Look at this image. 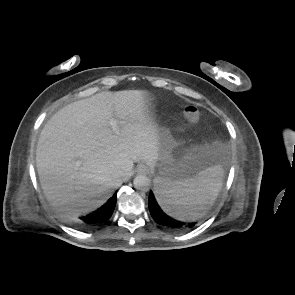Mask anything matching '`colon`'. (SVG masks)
<instances>
[{
	"mask_svg": "<svg viewBox=\"0 0 295 295\" xmlns=\"http://www.w3.org/2000/svg\"><path fill=\"white\" fill-rule=\"evenodd\" d=\"M183 113H184L185 118L189 122H196V121H198L199 116H200L198 109L195 106H193V105H187L184 108Z\"/></svg>",
	"mask_w": 295,
	"mask_h": 295,
	"instance_id": "obj_1",
	"label": "colon"
}]
</instances>
